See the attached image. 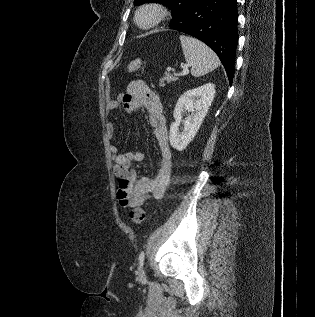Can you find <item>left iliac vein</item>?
<instances>
[{
    "instance_id": "left-iliac-vein-1",
    "label": "left iliac vein",
    "mask_w": 315,
    "mask_h": 317,
    "mask_svg": "<svg viewBox=\"0 0 315 317\" xmlns=\"http://www.w3.org/2000/svg\"><path fill=\"white\" fill-rule=\"evenodd\" d=\"M139 278L140 279H145L146 278L145 270L143 268L139 272Z\"/></svg>"
}]
</instances>
